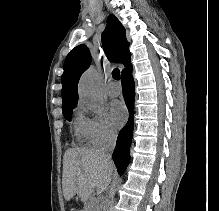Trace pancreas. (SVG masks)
Masks as SVG:
<instances>
[{
  "instance_id": "pancreas-1",
  "label": "pancreas",
  "mask_w": 219,
  "mask_h": 211,
  "mask_svg": "<svg viewBox=\"0 0 219 211\" xmlns=\"http://www.w3.org/2000/svg\"><path fill=\"white\" fill-rule=\"evenodd\" d=\"M87 207L83 209V211H95V209H99L98 205H96V200H87Z\"/></svg>"
}]
</instances>
